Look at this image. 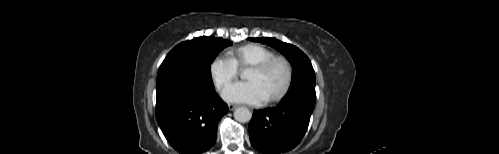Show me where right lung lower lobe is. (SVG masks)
<instances>
[{"instance_id":"1","label":"right lung lower lobe","mask_w":499,"mask_h":154,"mask_svg":"<svg viewBox=\"0 0 499 154\" xmlns=\"http://www.w3.org/2000/svg\"><path fill=\"white\" fill-rule=\"evenodd\" d=\"M228 112L214 88L206 91L177 87L156 96V119L180 154H200L215 143L217 125Z\"/></svg>"}]
</instances>
